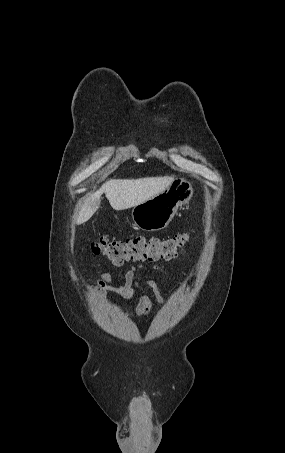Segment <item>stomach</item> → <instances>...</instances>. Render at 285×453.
<instances>
[{
  "mask_svg": "<svg viewBox=\"0 0 285 453\" xmlns=\"http://www.w3.org/2000/svg\"><path fill=\"white\" fill-rule=\"evenodd\" d=\"M191 184L176 178L169 187L149 200L134 206L132 219L144 231H159L168 226L178 208L190 200Z\"/></svg>",
  "mask_w": 285,
  "mask_h": 453,
  "instance_id": "stomach-1",
  "label": "stomach"
}]
</instances>
